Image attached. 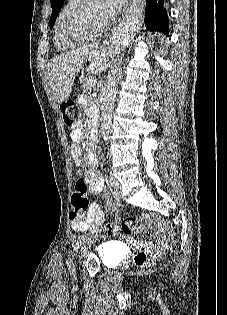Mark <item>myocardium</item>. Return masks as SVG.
<instances>
[{"mask_svg": "<svg viewBox=\"0 0 227 315\" xmlns=\"http://www.w3.org/2000/svg\"><path fill=\"white\" fill-rule=\"evenodd\" d=\"M90 0H78L76 4H74L71 9L67 12V14L64 16L62 21L60 22L58 26V34L60 37V40L63 44L67 46H76L81 43H84L85 41L94 39L98 36H100L107 28V25L105 24L100 29L92 32H81L77 36H71L66 32V29L74 22L76 21L79 16L84 11L85 7L89 3Z\"/></svg>", "mask_w": 227, "mask_h": 315, "instance_id": "1", "label": "myocardium"}]
</instances>
